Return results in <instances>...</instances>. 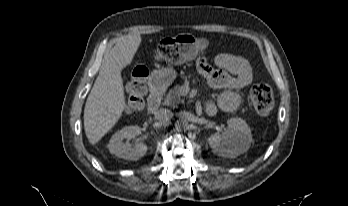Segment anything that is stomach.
Segmentation results:
<instances>
[{"instance_id":"stomach-1","label":"stomach","mask_w":348,"mask_h":206,"mask_svg":"<svg viewBox=\"0 0 348 206\" xmlns=\"http://www.w3.org/2000/svg\"><path fill=\"white\" fill-rule=\"evenodd\" d=\"M182 48L186 50V57L194 59L200 52H203L208 46V40L204 38H196L190 34L181 36ZM176 71L172 67L155 70L152 73V81L159 87L169 86L176 78Z\"/></svg>"}]
</instances>
